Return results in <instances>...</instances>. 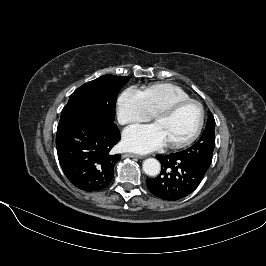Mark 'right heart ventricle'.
<instances>
[{"instance_id":"1","label":"right heart ventricle","mask_w":266,"mask_h":266,"mask_svg":"<svg viewBox=\"0 0 266 266\" xmlns=\"http://www.w3.org/2000/svg\"><path fill=\"white\" fill-rule=\"evenodd\" d=\"M150 114L171 105L174 102L189 99V95L180 87L170 83H155L141 91Z\"/></svg>"}]
</instances>
